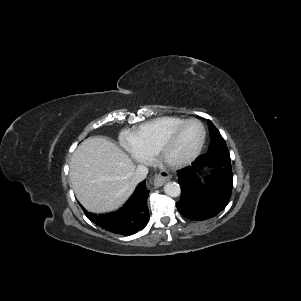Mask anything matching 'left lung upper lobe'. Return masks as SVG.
I'll list each match as a JSON object with an SVG mask.
<instances>
[{"label": "left lung upper lobe", "instance_id": "obj_1", "mask_svg": "<svg viewBox=\"0 0 301 301\" xmlns=\"http://www.w3.org/2000/svg\"><path fill=\"white\" fill-rule=\"evenodd\" d=\"M209 132L211 142L209 144L208 151L205 155L218 154V153H229L226 146L225 140L221 136L218 129L208 120Z\"/></svg>", "mask_w": 301, "mask_h": 301}]
</instances>
